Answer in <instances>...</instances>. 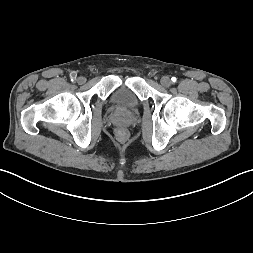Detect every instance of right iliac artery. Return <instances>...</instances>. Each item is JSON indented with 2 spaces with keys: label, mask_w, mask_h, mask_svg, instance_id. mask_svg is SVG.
<instances>
[{
  "label": "right iliac artery",
  "mask_w": 253,
  "mask_h": 253,
  "mask_svg": "<svg viewBox=\"0 0 253 253\" xmlns=\"http://www.w3.org/2000/svg\"><path fill=\"white\" fill-rule=\"evenodd\" d=\"M76 77H77L76 73L73 72V73L70 74L71 81H75Z\"/></svg>",
  "instance_id": "1"
}]
</instances>
